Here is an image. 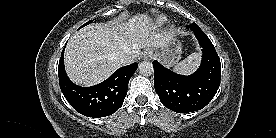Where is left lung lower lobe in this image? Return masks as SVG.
Wrapping results in <instances>:
<instances>
[{
	"mask_svg": "<svg viewBox=\"0 0 276 138\" xmlns=\"http://www.w3.org/2000/svg\"><path fill=\"white\" fill-rule=\"evenodd\" d=\"M202 47V62L192 75L183 76L153 61L154 88L161 103L177 113H188L204 108L215 96L221 78V63L217 52L198 26L192 30Z\"/></svg>",
	"mask_w": 276,
	"mask_h": 138,
	"instance_id": "0a47b994",
	"label": "left lung lower lobe"
}]
</instances>
